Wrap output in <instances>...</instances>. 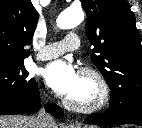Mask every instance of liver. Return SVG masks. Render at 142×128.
<instances>
[{"label":"liver","mask_w":142,"mask_h":128,"mask_svg":"<svg viewBox=\"0 0 142 128\" xmlns=\"http://www.w3.org/2000/svg\"><path fill=\"white\" fill-rule=\"evenodd\" d=\"M0 128H36L35 116H0Z\"/></svg>","instance_id":"1"}]
</instances>
